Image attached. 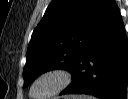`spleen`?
Wrapping results in <instances>:
<instances>
[{
	"label": "spleen",
	"instance_id": "3e777b00",
	"mask_svg": "<svg viewBox=\"0 0 128 99\" xmlns=\"http://www.w3.org/2000/svg\"><path fill=\"white\" fill-rule=\"evenodd\" d=\"M83 99H90V97H82Z\"/></svg>",
	"mask_w": 128,
	"mask_h": 99
}]
</instances>
